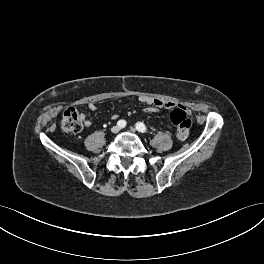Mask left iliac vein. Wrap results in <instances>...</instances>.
Wrapping results in <instances>:
<instances>
[{
    "instance_id": "4c4485c4",
    "label": "left iliac vein",
    "mask_w": 264,
    "mask_h": 264,
    "mask_svg": "<svg viewBox=\"0 0 264 264\" xmlns=\"http://www.w3.org/2000/svg\"><path fill=\"white\" fill-rule=\"evenodd\" d=\"M129 131L132 132V133H136V132H137L136 129L133 128V127H131V128L129 129Z\"/></svg>"
}]
</instances>
